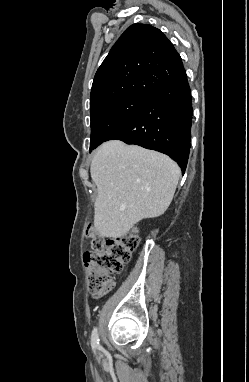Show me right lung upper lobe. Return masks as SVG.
Returning a JSON list of instances; mask_svg holds the SVG:
<instances>
[{
  "label": "right lung upper lobe",
  "mask_w": 249,
  "mask_h": 382,
  "mask_svg": "<svg viewBox=\"0 0 249 382\" xmlns=\"http://www.w3.org/2000/svg\"><path fill=\"white\" fill-rule=\"evenodd\" d=\"M184 71L181 57L163 32L148 24H133L98 68L90 109L130 95L151 97Z\"/></svg>",
  "instance_id": "obj_1"
}]
</instances>
